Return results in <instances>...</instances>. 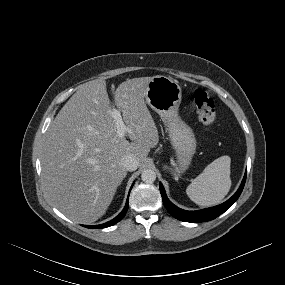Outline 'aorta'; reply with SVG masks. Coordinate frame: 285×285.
Listing matches in <instances>:
<instances>
[{
  "label": "aorta",
  "instance_id": "aorta-1",
  "mask_svg": "<svg viewBox=\"0 0 285 285\" xmlns=\"http://www.w3.org/2000/svg\"><path fill=\"white\" fill-rule=\"evenodd\" d=\"M141 178L145 183H153L156 180V173L151 169H145L141 174Z\"/></svg>",
  "mask_w": 285,
  "mask_h": 285
}]
</instances>
